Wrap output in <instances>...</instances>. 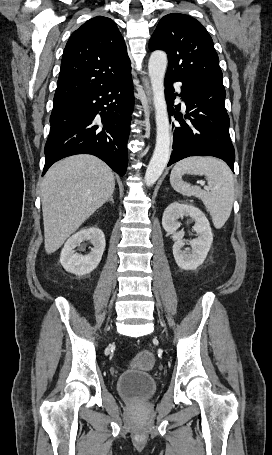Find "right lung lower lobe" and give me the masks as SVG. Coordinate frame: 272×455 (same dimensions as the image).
Listing matches in <instances>:
<instances>
[{
  "label": "right lung lower lobe",
  "mask_w": 272,
  "mask_h": 455,
  "mask_svg": "<svg viewBox=\"0 0 272 455\" xmlns=\"http://www.w3.org/2000/svg\"><path fill=\"white\" fill-rule=\"evenodd\" d=\"M133 104L131 74L54 102L42 175L61 158L89 153L123 176L128 162L127 141Z\"/></svg>",
  "instance_id": "obj_1"
}]
</instances>
